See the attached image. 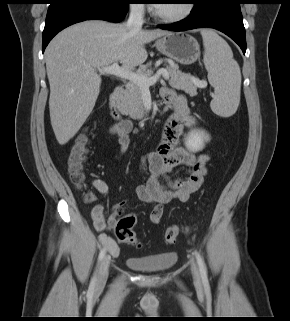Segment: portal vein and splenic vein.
<instances>
[{
  "mask_svg": "<svg viewBox=\"0 0 290 321\" xmlns=\"http://www.w3.org/2000/svg\"><path fill=\"white\" fill-rule=\"evenodd\" d=\"M98 70L102 74L106 73L123 79H128L143 88L149 87L151 84L155 83L160 77H163L165 80L169 79V73L166 69H159L153 76L149 77L138 72H133L126 67H120L118 63H113L110 66L102 67ZM193 81L198 87L207 86V83L205 81H199L198 79H193Z\"/></svg>",
  "mask_w": 290,
  "mask_h": 321,
  "instance_id": "obj_1",
  "label": "portal vein and splenic vein"
}]
</instances>
